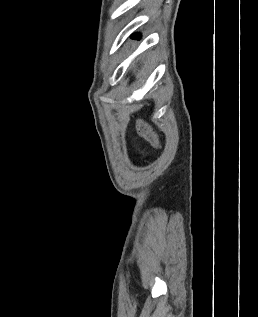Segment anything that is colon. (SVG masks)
<instances>
[{
	"instance_id": "5ec220e1",
	"label": "colon",
	"mask_w": 258,
	"mask_h": 317,
	"mask_svg": "<svg viewBox=\"0 0 258 317\" xmlns=\"http://www.w3.org/2000/svg\"><path fill=\"white\" fill-rule=\"evenodd\" d=\"M136 129L155 148L161 147L159 135L154 131L152 126L142 118L136 120Z\"/></svg>"
}]
</instances>
